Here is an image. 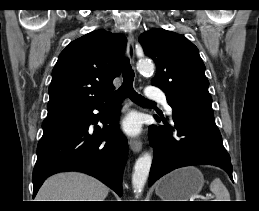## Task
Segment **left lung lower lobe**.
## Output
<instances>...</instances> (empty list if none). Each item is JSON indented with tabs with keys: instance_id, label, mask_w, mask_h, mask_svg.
Returning a JSON list of instances; mask_svg holds the SVG:
<instances>
[{
	"instance_id": "0a47b994",
	"label": "left lung lower lobe",
	"mask_w": 259,
	"mask_h": 211,
	"mask_svg": "<svg viewBox=\"0 0 259 211\" xmlns=\"http://www.w3.org/2000/svg\"><path fill=\"white\" fill-rule=\"evenodd\" d=\"M172 117L174 127L164 119V125L149 127L154 149L149 186L168 172L190 165H214L232 179L231 159L214 118L189 112H173Z\"/></svg>"
}]
</instances>
